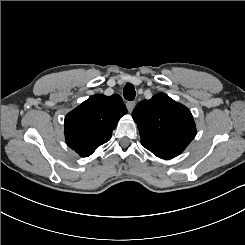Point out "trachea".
Wrapping results in <instances>:
<instances>
[{"mask_svg": "<svg viewBox=\"0 0 245 245\" xmlns=\"http://www.w3.org/2000/svg\"><path fill=\"white\" fill-rule=\"evenodd\" d=\"M124 98L128 101H133L136 96L135 88L131 83H127L123 90Z\"/></svg>", "mask_w": 245, "mask_h": 245, "instance_id": "3493384b", "label": "trachea"}]
</instances>
